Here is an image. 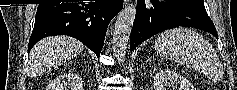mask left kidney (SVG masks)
<instances>
[{
    "instance_id": "left-kidney-1",
    "label": "left kidney",
    "mask_w": 237,
    "mask_h": 90,
    "mask_svg": "<svg viewBox=\"0 0 237 90\" xmlns=\"http://www.w3.org/2000/svg\"><path fill=\"white\" fill-rule=\"evenodd\" d=\"M154 90H194V86L176 72L159 70L154 76Z\"/></svg>"
}]
</instances>
